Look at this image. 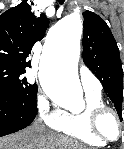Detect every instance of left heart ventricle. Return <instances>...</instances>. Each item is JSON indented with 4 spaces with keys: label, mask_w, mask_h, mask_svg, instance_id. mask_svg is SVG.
I'll list each match as a JSON object with an SVG mask.
<instances>
[{
    "label": "left heart ventricle",
    "mask_w": 124,
    "mask_h": 149,
    "mask_svg": "<svg viewBox=\"0 0 124 149\" xmlns=\"http://www.w3.org/2000/svg\"><path fill=\"white\" fill-rule=\"evenodd\" d=\"M103 132L110 138H115L118 134L117 122L113 116L107 115L101 121Z\"/></svg>",
    "instance_id": "1"
}]
</instances>
